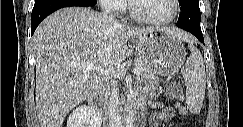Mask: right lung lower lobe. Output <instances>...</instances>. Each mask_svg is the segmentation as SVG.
Wrapping results in <instances>:
<instances>
[{
  "mask_svg": "<svg viewBox=\"0 0 243 127\" xmlns=\"http://www.w3.org/2000/svg\"><path fill=\"white\" fill-rule=\"evenodd\" d=\"M95 4V0H35L31 16L32 34L45 17L60 8L71 6L93 7Z\"/></svg>",
  "mask_w": 243,
  "mask_h": 127,
  "instance_id": "98d812e1",
  "label": "right lung lower lobe"
}]
</instances>
